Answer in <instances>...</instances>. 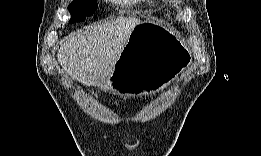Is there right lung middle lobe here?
<instances>
[{
  "mask_svg": "<svg viewBox=\"0 0 261 156\" xmlns=\"http://www.w3.org/2000/svg\"><path fill=\"white\" fill-rule=\"evenodd\" d=\"M97 6L94 0L73 1L68 7L72 15L69 23L83 21L87 16L94 14Z\"/></svg>",
  "mask_w": 261,
  "mask_h": 156,
  "instance_id": "1",
  "label": "right lung middle lobe"
}]
</instances>
